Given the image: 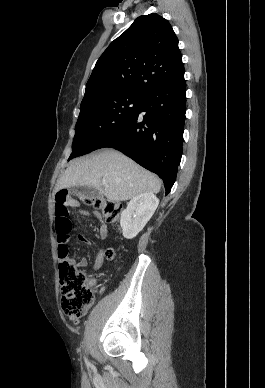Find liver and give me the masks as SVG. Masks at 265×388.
I'll list each match as a JSON object with an SVG mask.
<instances>
[{"label": "liver", "instance_id": "liver-1", "mask_svg": "<svg viewBox=\"0 0 265 388\" xmlns=\"http://www.w3.org/2000/svg\"><path fill=\"white\" fill-rule=\"evenodd\" d=\"M107 180L108 188H104L101 180ZM88 186L96 188L108 200L123 202L131 200L138 194L152 192L158 194L161 184L159 178L147 172L133 160L123 156L116 150L107 148L93 158H77L73 160L65 174L56 184V192L62 188Z\"/></svg>", "mask_w": 265, "mask_h": 388}]
</instances>
